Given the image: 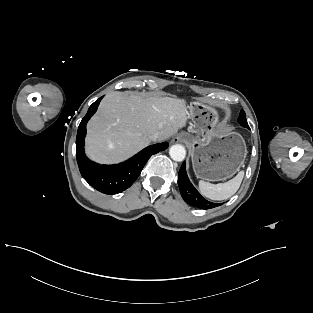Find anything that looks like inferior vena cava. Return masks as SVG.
<instances>
[{"label": "inferior vena cava", "instance_id": "1", "mask_svg": "<svg viewBox=\"0 0 313 313\" xmlns=\"http://www.w3.org/2000/svg\"><path fill=\"white\" fill-rule=\"evenodd\" d=\"M150 139L152 141L161 140V134L159 132H155L152 135H150Z\"/></svg>", "mask_w": 313, "mask_h": 313}]
</instances>
